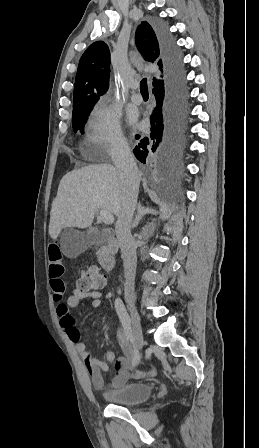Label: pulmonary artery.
<instances>
[{
	"instance_id": "1",
	"label": "pulmonary artery",
	"mask_w": 259,
	"mask_h": 448,
	"mask_svg": "<svg viewBox=\"0 0 259 448\" xmlns=\"http://www.w3.org/2000/svg\"><path fill=\"white\" fill-rule=\"evenodd\" d=\"M139 85H140L139 81L133 80L130 84V87H131V89L135 90L139 87ZM131 101L133 103L139 104L142 102V97L138 94H133V95H131Z\"/></svg>"
}]
</instances>
